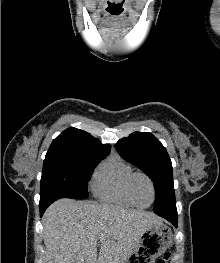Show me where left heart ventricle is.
Segmentation results:
<instances>
[{
    "label": "left heart ventricle",
    "instance_id": "1",
    "mask_svg": "<svg viewBox=\"0 0 220 263\" xmlns=\"http://www.w3.org/2000/svg\"><path fill=\"white\" fill-rule=\"evenodd\" d=\"M135 199L140 205H147L152 199V192L148 182L139 177L135 180L133 186Z\"/></svg>",
    "mask_w": 220,
    "mask_h": 263
}]
</instances>
